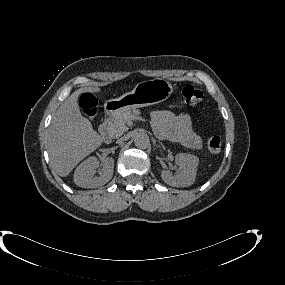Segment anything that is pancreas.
Returning <instances> with one entry per match:
<instances>
[{
  "instance_id": "1",
  "label": "pancreas",
  "mask_w": 285,
  "mask_h": 285,
  "mask_svg": "<svg viewBox=\"0 0 285 285\" xmlns=\"http://www.w3.org/2000/svg\"><path fill=\"white\" fill-rule=\"evenodd\" d=\"M140 114L139 110L126 111L116 115L108 127V133L111 137H120L128 130L126 122L136 118Z\"/></svg>"
}]
</instances>
